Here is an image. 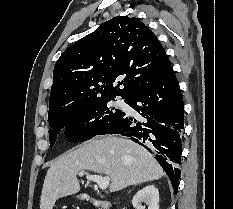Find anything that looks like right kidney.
<instances>
[{
	"label": "right kidney",
	"mask_w": 233,
	"mask_h": 209,
	"mask_svg": "<svg viewBox=\"0 0 233 209\" xmlns=\"http://www.w3.org/2000/svg\"><path fill=\"white\" fill-rule=\"evenodd\" d=\"M142 202L146 203L148 209H159V191L154 185L142 188L132 199V205L136 209H145Z\"/></svg>",
	"instance_id": "right-kidney-1"
}]
</instances>
